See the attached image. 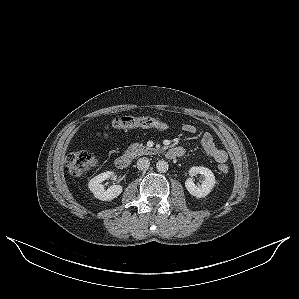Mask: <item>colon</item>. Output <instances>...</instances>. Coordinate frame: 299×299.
<instances>
[{"instance_id": "obj_1", "label": "colon", "mask_w": 299, "mask_h": 299, "mask_svg": "<svg viewBox=\"0 0 299 299\" xmlns=\"http://www.w3.org/2000/svg\"><path fill=\"white\" fill-rule=\"evenodd\" d=\"M112 126L116 129H132L136 127L154 128L159 130H168L169 126L166 122L154 117H131L121 116L113 120ZM66 165L69 172L77 177L88 173L95 165L96 158L88 151H79L70 154L67 157ZM219 169L223 173H227L229 168L225 164H221Z\"/></svg>"}]
</instances>
